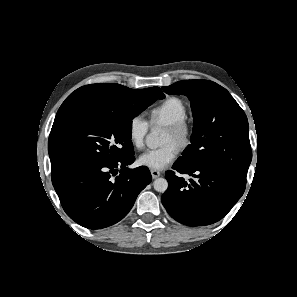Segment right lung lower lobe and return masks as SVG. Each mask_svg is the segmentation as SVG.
Masks as SVG:
<instances>
[{
	"mask_svg": "<svg viewBox=\"0 0 297 297\" xmlns=\"http://www.w3.org/2000/svg\"><path fill=\"white\" fill-rule=\"evenodd\" d=\"M134 160L133 154L110 161L86 162L52 176L66 214L89 229L119 222L152 180L145 166L127 168Z\"/></svg>",
	"mask_w": 297,
	"mask_h": 297,
	"instance_id": "1",
	"label": "right lung lower lobe"
}]
</instances>
